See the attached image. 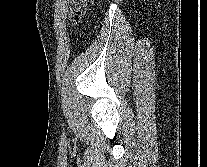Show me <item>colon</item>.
I'll list each match as a JSON object with an SVG mask.
<instances>
[{"label":"colon","instance_id":"1","mask_svg":"<svg viewBox=\"0 0 207 167\" xmlns=\"http://www.w3.org/2000/svg\"><path fill=\"white\" fill-rule=\"evenodd\" d=\"M89 2L90 0H74L70 12V18L73 23L77 24L82 20L86 13Z\"/></svg>","mask_w":207,"mask_h":167}]
</instances>
